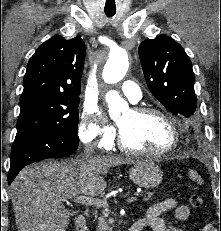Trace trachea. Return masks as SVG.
I'll list each match as a JSON object with an SVG mask.
<instances>
[{
    "mask_svg": "<svg viewBox=\"0 0 221 231\" xmlns=\"http://www.w3.org/2000/svg\"><path fill=\"white\" fill-rule=\"evenodd\" d=\"M116 11H108L105 10V14L107 15V17H113L115 15Z\"/></svg>",
    "mask_w": 221,
    "mask_h": 231,
    "instance_id": "3493384b",
    "label": "trachea"
}]
</instances>
